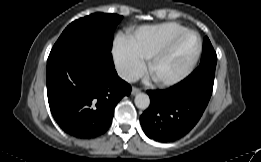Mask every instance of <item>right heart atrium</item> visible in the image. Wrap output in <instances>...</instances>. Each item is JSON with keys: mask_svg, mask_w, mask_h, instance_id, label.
Wrapping results in <instances>:
<instances>
[{"mask_svg": "<svg viewBox=\"0 0 261 162\" xmlns=\"http://www.w3.org/2000/svg\"><path fill=\"white\" fill-rule=\"evenodd\" d=\"M113 58L123 79L131 81L143 73L144 60L134 51L128 37L117 38L113 49Z\"/></svg>", "mask_w": 261, "mask_h": 162, "instance_id": "obj_1", "label": "right heart atrium"}]
</instances>
